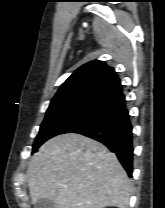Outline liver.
Returning <instances> with one entry per match:
<instances>
[{
	"mask_svg": "<svg viewBox=\"0 0 165 208\" xmlns=\"http://www.w3.org/2000/svg\"><path fill=\"white\" fill-rule=\"evenodd\" d=\"M32 203L55 208H128L130 180L116 155L89 137L67 133L46 141L27 169Z\"/></svg>",
	"mask_w": 165,
	"mask_h": 208,
	"instance_id": "1",
	"label": "liver"
}]
</instances>
